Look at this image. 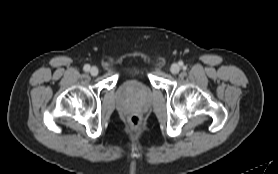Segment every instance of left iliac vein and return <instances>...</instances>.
<instances>
[{
    "instance_id": "4c4485c4",
    "label": "left iliac vein",
    "mask_w": 278,
    "mask_h": 174,
    "mask_svg": "<svg viewBox=\"0 0 278 174\" xmlns=\"http://www.w3.org/2000/svg\"><path fill=\"white\" fill-rule=\"evenodd\" d=\"M170 71L172 74H177L180 71V67L178 64H172Z\"/></svg>"
}]
</instances>
